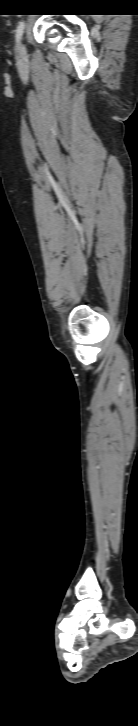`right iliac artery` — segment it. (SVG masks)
Listing matches in <instances>:
<instances>
[{"mask_svg": "<svg viewBox=\"0 0 138 726\" xmlns=\"http://www.w3.org/2000/svg\"><path fill=\"white\" fill-rule=\"evenodd\" d=\"M24 27H25V23L21 22L17 28V31H16V41L17 42H19L21 40L23 31H24Z\"/></svg>", "mask_w": 138, "mask_h": 726, "instance_id": "obj_1", "label": "right iliac artery"}]
</instances>
